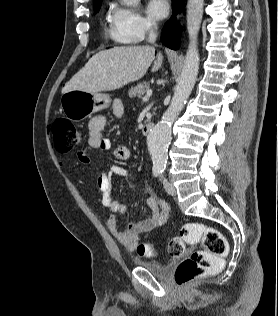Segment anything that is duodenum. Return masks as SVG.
I'll return each instance as SVG.
<instances>
[{"label": "duodenum", "mask_w": 278, "mask_h": 316, "mask_svg": "<svg viewBox=\"0 0 278 316\" xmlns=\"http://www.w3.org/2000/svg\"><path fill=\"white\" fill-rule=\"evenodd\" d=\"M154 126H155V122H148V123L144 124L142 127V133L144 135L150 134V132L153 130Z\"/></svg>", "instance_id": "obj_1"}]
</instances>
